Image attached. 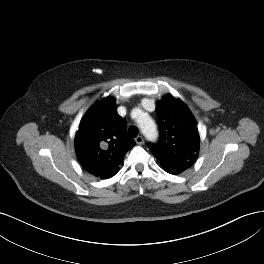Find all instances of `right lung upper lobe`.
<instances>
[{
  "mask_svg": "<svg viewBox=\"0 0 264 264\" xmlns=\"http://www.w3.org/2000/svg\"><path fill=\"white\" fill-rule=\"evenodd\" d=\"M117 115L113 97L96 102L83 117L75 136L77 158L86 171L101 179L114 176L135 142Z\"/></svg>",
  "mask_w": 264,
  "mask_h": 264,
  "instance_id": "1",
  "label": "right lung upper lobe"
}]
</instances>
